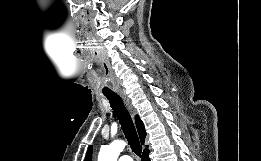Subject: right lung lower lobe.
Returning <instances> with one entry per match:
<instances>
[{
  "label": "right lung lower lobe",
  "mask_w": 261,
  "mask_h": 161,
  "mask_svg": "<svg viewBox=\"0 0 261 161\" xmlns=\"http://www.w3.org/2000/svg\"><path fill=\"white\" fill-rule=\"evenodd\" d=\"M148 153H149V151L143 152L142 160H141V161H150V159H149V157H148Z\"/></svg>",
  "instance_id": "right-lung-lower-lobe-1"
}]
</instances>
